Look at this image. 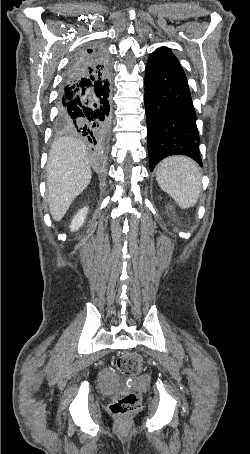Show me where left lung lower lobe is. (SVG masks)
Wrapping results in <instances>:
<instances>
[{"instance_id": "obj_1", "label": "left lung lower lobe", "mask_w": 250, "mask_h": 454, "mask_svg": "<svg viewBox=\"0 0 250 454\" xmlns=\"http://www.w3.org/2000/svg\"><path fill=\"white\" fill-rule=\"evenodd\" d=\"M150 171L165 157L186 155L200 166L196 113L184 71L174 55L154 51L145 70Z\"/></svg>"}]
</instances>
